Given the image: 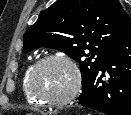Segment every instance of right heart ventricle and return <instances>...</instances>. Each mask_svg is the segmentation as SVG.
Masks as SVG:
<instances>
[{"label": "right heart ventricle", "mask_w": 131, "mask_h": 115, "mask_svg": "<svg viewBox=\"0 0 131 115\" xmlns=\"http://www.w3.org/2000/svg\"><path fill=\"white\" fill-rule=\"evenodd\" d=\"M34 64L35 63H30L24 70L22 78H21V90H22L25 100L30 105L35 106V107H40L42 106V103L31 94L29 87H28L29 74Z\"/></svg>", "instance_id": "right-heart-ventricle-1"}]
</instances>
